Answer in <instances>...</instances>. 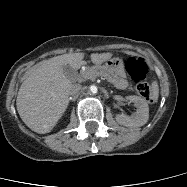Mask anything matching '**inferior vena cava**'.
Returning <instances> with one entry per match:
<instances>
[{
    "label": "inferior vena cava",
    "instance_id": "inferior-vena-cava-1",
    "mask_svg": "<svg viewBox=\"0 0 187 187\" xmlns=\"http://www.w3.org/2000/svg\"><path fill=\"white\" fill-rule=\"evenodd\" d=\"M82 86L80 84H73L70 89V95H76L80 92Z\"/></svg>",
    "mask_w": 187,
    "mask_h": 187
}]
</instances>
